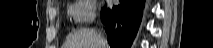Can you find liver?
<instances>
[{
  "label": "liver",
  "instance_id": "6515ba94",
  "mask_svg": "<svg viewBox=\"0 0 213 48\" xmlns=\"http://www.w3.org/2000/svg\"><path fill=\"white\" fill-rule=\"evenodd\" d=\"M99 34L89 28H83L67 37L63 48H109L107 42L100 43Z\"/></svg>",
  "mask_w": 213,
  "mask_h": 48
}]
</instances>
